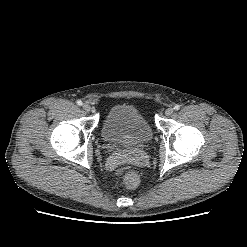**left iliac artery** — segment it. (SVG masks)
<instances>
[{"label":"left iliac artery","instance_id":"44dca946","mask_svg":"<svg viewBox=\"0 0 247 247\" xmlns=\"http://www.w3.org/2000/svg\"><path fill=\"white\" fill-rule=\"evenodd\" d=\"M174 109H175V110H179V109H180V106H179V105H175V106H174Z\"/></svg>","mask_w":247,"mask_h":247}]
</instances>
